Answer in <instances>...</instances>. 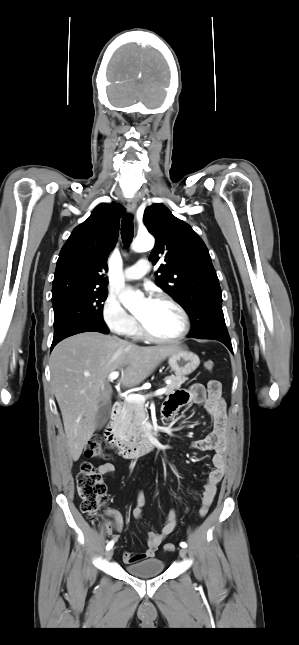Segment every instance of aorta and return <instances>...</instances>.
Returning <instances> with one entry per match:
<instances>
[{
	"label": "aorta",
	"mask_w": 299,
	"mask_h": 645,
	"mask_svg": "<svg viewBox=\"0 0 299 645\" xmlns=\"http://www.w3.org/2000/svg\"><path fill=\"white\" fill-rule=\"evenodd\" d=\"M154 247V238L150 235L137 236L133 242L132 248L136 252L149 251ZM140 297L133 291L128 290L121 296L122 304L130 311L134 312L140 306Z\"/></svg>",
	"instance_id": "762f6f07"
}]
</instances>
